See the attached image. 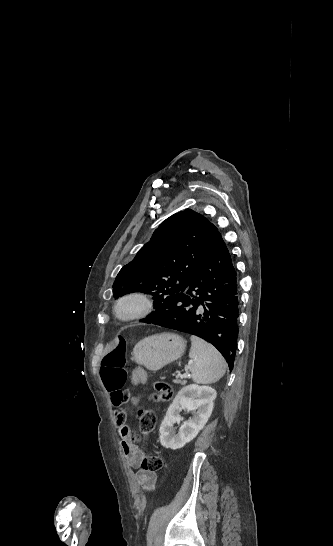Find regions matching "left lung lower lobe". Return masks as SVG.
I'll list each match as a JSON object with an SVG mask.
<instances>
[{
  "mask_svg": "<svg viewBox=\"0 0 333 546\" xmlns=\"http://www.w3.org/2000/svg\"><path fill=\"white\" fill-rule=\"evenodd\" d=\"M239 288L229 250L218 231L208 256L188 288L152 323L201 337L214 345L232 370L236 355Z\"/></svg>",
  "mask_w": 333,
  "mask_h": 546,
  "instance_id": "0a47b994",
  "label": "left lung lower lobe"
}]
</instances>
